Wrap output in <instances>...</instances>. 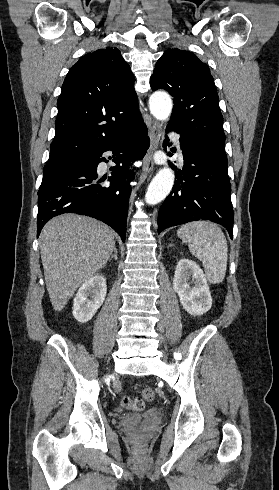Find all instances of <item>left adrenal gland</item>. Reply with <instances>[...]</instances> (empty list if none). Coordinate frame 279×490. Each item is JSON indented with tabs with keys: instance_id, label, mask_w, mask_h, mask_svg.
Listing matches in <instances>:
<instances>
[{
	"instance_id": "1",
	"label": "left adrenal gland",
	"mask_w": 279,
	"mask_h": 490,
	"mask_svg": "<svg viewBox=\"0 0 279 490\" xmlns=\"http://www.w3.org/2000/svg\"><path fill=\"white\" fill-rule=\"evenodd\" d=\"M170 246H174V244H169L168 248H170Z\"/></svg>"
}]
</instances>
